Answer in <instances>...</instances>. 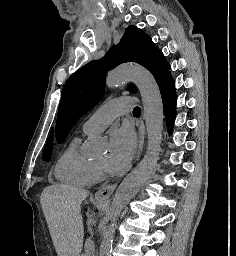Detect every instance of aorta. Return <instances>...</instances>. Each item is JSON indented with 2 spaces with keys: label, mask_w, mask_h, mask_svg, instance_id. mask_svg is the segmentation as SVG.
Returning a JSON list of instances; mask_svg holds the SVG:
<instances>
[{
  "label": "aorta",
  "mask_w": 236,
  "mask_h": 256,
  "mask_svg": "<svg viewBox=\"0 0 236 256\" xmlns=\"http://www.w3.org/2000/svg\"><path fill=\"white\" fill-rule=\"evenodd\" d=\"M128 81L134 82L142 96L148 138L147 151L139 164L123 180L114 195L110 212L111 223L103 233L99 256H111L117 220L124 207L149 179L161 150L164 116L159 87L152 74L139 65H121L114 69L107 75L106 86L115 88Z\"/></svg>",
  "instance_id": "aorta-1"
}]
</instances>
